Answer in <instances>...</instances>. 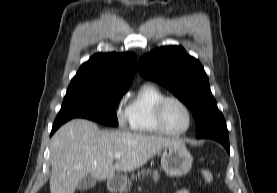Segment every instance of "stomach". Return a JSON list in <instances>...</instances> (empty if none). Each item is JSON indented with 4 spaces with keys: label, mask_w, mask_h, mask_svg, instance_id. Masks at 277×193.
Masks as SVG:
<instances>
[{
    "label": "stomach",
    "mask_w": 277,
    "mask_h": 193,
    "mask_svg": "<svg viewBox=\"0 0 277 193\" xmlns=\"http://www.w3.org/2000/svg\"><path fill=\"white\" fill-rule=\"evenodd\" d=\"M193 158L185 144H177L163 149L161 166L169 176L181 177L192 168ZM112 190L122 192L126 189L127 177L117 176L110 181Z\"/></svg>",
    "instance_id": "obj_1"
}]
</instances>
